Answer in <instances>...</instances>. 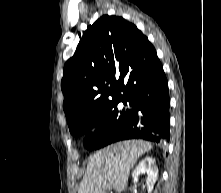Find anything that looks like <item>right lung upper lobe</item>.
<instances>
[{
	"label": "right lung upper lobe",
	"mask_w": 221,
	"mask_h": 193,
	"mask_svg": "<svg viewBox=\"0 0 221 193\" xmlns=\"http://www.w3.org/2000/svg\"><path fill=\"white\" fill-rule=\"evenodd\" d=\"M158 63L155 48L134 24L119 16L99 18L64 66L61 88L69 128L115 100L131 98Z\"/></svg>",
	"instance_id": "1"
}]
</instances>
